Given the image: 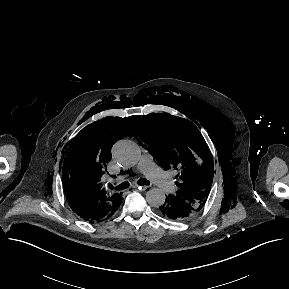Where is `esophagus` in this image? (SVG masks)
Wrapping results in <instances>:
<instances>
[{
    "instance_id": "esophagus-1",
    "label": "esophagus",
    "mask_w": 289,
    "mask_h": 289,
    "mask_svg": "<svg viewBox=\"0 0 289 289\" xmlns=\"http://www.w3.org/2000/svg\"><path fill=\"white\" fill-rule=\"evenodd\" d=\"M132 188H138L139 190L145 191L149 189V186H139V185H133Z\"/></svg>"
}]
</instances>
